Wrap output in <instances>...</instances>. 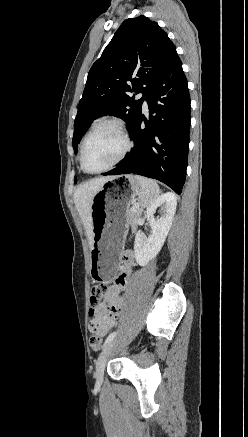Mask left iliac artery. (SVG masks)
I'll return each mask as SVG.
<instances>
[{
  "mask_svg": "<svg viewBox=\"0 0 248 437\" xmlns=\"http://www.w3.org/2000/svg\"><path fill=\"white\" fill-rule=\"evenodd\" d=\"M117 335V332H112L111 334H109V336L106 338L104 345H106L108 342H110L111 340H113Z\"/></svg>",
  "mask_w": 248,
  "mask_h": 437,
  "instance_id": "44dca946",
  "label": "left iliac artery"
}]
</instances>
